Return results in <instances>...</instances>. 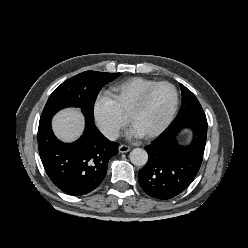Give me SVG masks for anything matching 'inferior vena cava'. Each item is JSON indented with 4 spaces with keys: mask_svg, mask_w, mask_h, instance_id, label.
Returning a JSON list of instances; mask_svg holds the SVG:
<instances>
[{
    "mask_svg": "<svg viewBox=\"0 0 248 248\" xmlns=\"http://www.w3.org/2000/svg\"><path fill=\"white\" fill-rule=\"evenodd\" d=\"M103 134L111 141L119 137V132L113 128H108L103 131Z\"/></svg>",
    "mask_w": 248,
    "mask_h": 248,
    "instance_id": "inferior-vena-cava-1",
    "label": "inferior vena cava"
}]
</instances>
